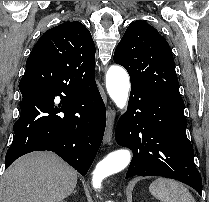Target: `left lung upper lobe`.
<instances>
[{
    "label": "left lung upper lobe",
    "instance_id": "5c2ea615",
    "mask_svg": "<svg viewBox=\"0 0 209 202\" xmlns=\"http://www.w3.org/2000/svg\"><path fill=\"white\" fill-rule=\"evenodd\" d=\"M114 62L128 71L131 85L182 99L170 46L148 23L135 21L128 26L116 47Z\"/></svg>",
    "mask_w": 209,
    "mask_h": 202
}]
</instances>
